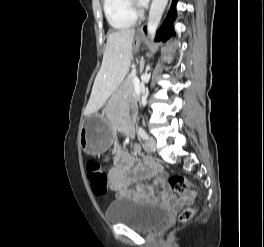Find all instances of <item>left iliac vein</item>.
I'll use <instances>...</instances> for the list:
<instances>
[{
	"label": "left iliac vein",
	"instance_id": "left-iliac-vein-1",
	"mask_svg": "<svg viewBox=\"0 0 264 247\" xmlns=\"http://www.w3.org/2000/svg\"><path fill=\"white\" fill-rule=\"evenodd\" d=\"M145 148L149 152H154L156 150V141L154 138L150 137L146 142H145Z\"/></svg>",
	"mask_w": 264,
	"mask_h": 247
}]
</instances>
